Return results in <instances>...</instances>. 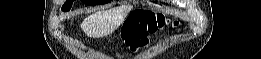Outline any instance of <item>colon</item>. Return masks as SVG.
Wrapping results in <instances>:
<instances>
[{
    "label": "colon",
    "mask_w": 261,
    "mask_h": 59,
    "mask_svg": "<svg viewBox=\"0 0 261 59\" xmlns=\"http://www.w3.org/2000/svg\"><path fill=\"white\" fill-rule=\"evenodd\" d=\"M162 17L150 12L141 13L133 22L128 32V40L131 48L138 50L145 47L148 43V36L157 31L164 25Z\"/></svg>",
    "instance_id": "5ec220e1"
}]
</instances>
